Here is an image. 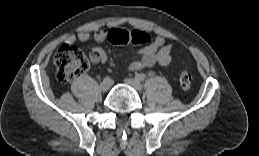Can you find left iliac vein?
<instances>
[{
  "mask_svg": "<svg viewBox=\"0 0 259 156\" xmlns=\"http://www.w3.org/2000/svg\"><path fill=\"white\" fill-rule=\"evenodd\" d=\"M126 84L133 87L136 91L141 92L142 91V84L137 79H125Z\"/></svg>",
  "mask_w": 259,
  "mask_h": 156,
  "instance_id": "left-iliac-vein-1",
  "label": "left iliac vein"
}]
</instances>
